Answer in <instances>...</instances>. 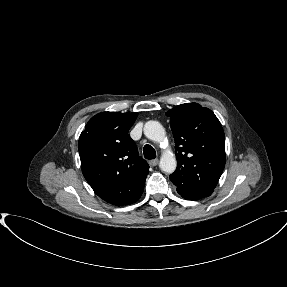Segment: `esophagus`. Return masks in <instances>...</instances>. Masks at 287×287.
<instances>
[{
    "mask_svg": "<svg viewBox=\"0 0 287 287\" xmlns=\"http://www.w3.org/2000/svg\"><path fill=\"white\" fill-rule=\"evenodd\" d=\"M158 163H159V159H153L149 161V164L153 167L158 165Z\"/></svg>",
    "mask_w": 287,
    "mask_h": 287,
    "instance_id": "esophagus-1",
    "label": "esophagus"
}]
</instances>
